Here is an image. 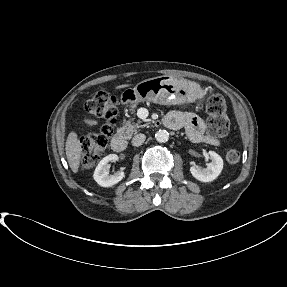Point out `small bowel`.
Returning <instances> with one entry per match:
<instances>
[{"label":"small bowel","mask_w":287,"mask_h":287,"mask_svg":"<svg viewBox=\"0 0 287 287\" xmlns=\"http://www.w3.org/2000/svg\"><path fill=\"white\" fill-rule=\"evenodd\" d=\"M165 124L171 129H184L188 137L194 142H204L211 145L219 144V141L205 134L204 120L194 113L172 111L166 115Z\"/></svg>","instance_id":"1"}]
</instances>
